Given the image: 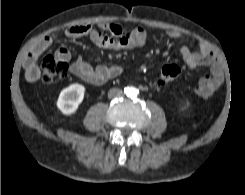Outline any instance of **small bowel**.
Segmentation results:
<instances>
[{
    "instance_id": "small-bowel-1",
    "label": "small bowel",
    "mask_w": 245,
    "mask_h": 195,
    "mask_svg": "<svg viewBox=\"0 0 245 195\" xmlns=\"http://www.w3.org/2000/svg\"><path fill=\"white\" fill-rule=\"evenodd\" d=\"M67 37L89 36L98 46L111 50H130L143 47L147 41L146 31L142 28H134L124 32L122 27L115 23H102L98 26L91 24L73 25L64 30ZM168 36L173 39L181 37L176 31H169ZM54 38L45 36L37 41L24 58L23 66L25 77L34 82L39 77V69L36 65L38 57L47 50ZM180 53L182 59L190 69L199 66H208L210 74L203 77L195 88V94L201 98H208L221 86L224 80L222 67L211 49L204 43H198V51L194 52L187 45H181ZM57 58L68 61L70 53L65 48L56 52ZM70 72L85 82L100 85L119 76L122 67L119 64L98 65L96 67L87 63L82 56H78L70 66Z\"/></svg>"
}]
</instances>
